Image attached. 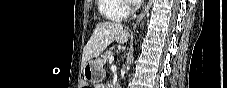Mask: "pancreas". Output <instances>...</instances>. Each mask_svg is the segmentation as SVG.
Wrapping results in <instances>:
<instances>
[{
	"label": "pancreas",
	"instance_id": "obj_1",
	"mask_svg": "<svg viewBox=\"0 0 227 88\" xmlns=\"http://www.w3.org/2000/svg\"><path fill=\"white\" fill-rule=\"evenodd\" d=\"M113 56L111 51H106L103 55H102V60L106 63L109 61V58Z\"/></svg>",
	"mask_w": 227,
	"mask_h": 88
}]
</instances>
